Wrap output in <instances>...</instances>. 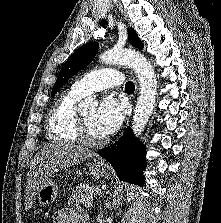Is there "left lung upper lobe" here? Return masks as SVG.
Returning a JSON list of instances; mask_svg holds the SVG:
<instances>
[{
    "mask_svg": "<svg viewBox=\"0 0 221 223\" xmlns=\"http://www.w3.org/2000/svg\"><path fill=\"white\" fill-rule=\"evenodd\" d=\"M129 42L139 48H143L142 42L139 40L138 35L132 29H128ZM99 49V44L97 42H91L83 45L78 50H76L69 59L65 62L57 80L53 86L51 96L53 97L58 90L78 71L84 69L90 62L94 59L97 51Z\"/></svg>",
    "mask_w": 221,
    "mask_h": 223,
    "instance_id": "obj_1",
    "label": "left lung upper lobe"
}]
</instances>
